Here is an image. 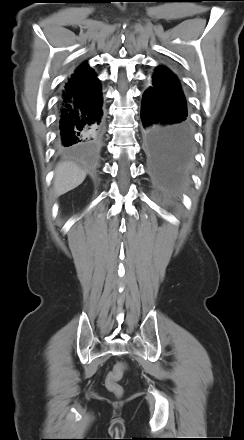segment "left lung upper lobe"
I'll use <instances>...</instances> for the list:
<instances>
[{
	"mask_svg": "<svg viewBox=\"0 0 244 440\" xmlns=\"http://www.w3.org/2000/svg\"><path fill=\"white\" fill-rule=\"evenodd\" d=\"M153 86L173 102L187 108L185 96L177 77L165 66L156 68L152 76Z\"/></svg>",
	"mask_w": 244,
	"mask_h": 440,
	"instance_id": "5c2ea615",
	"label": "left lung upper lobe"
}]
</instances>
